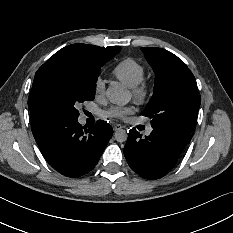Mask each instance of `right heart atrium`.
<instances>
[{"label": "right heart atrium", "instance_id": "obj_1", "mask_svg": "<svg viewBox=\"0 0 233 233\" xmlns=\"http://www.w3.org/2000/svg\"><path fill=\"white\" fill-rule=\"evenodd\" d=\"M105 90V82L102 78H98L95 82L94 91L98 94H103Z\"/></svg>", "mask_w": 233, "mask_h": 233}]
</instances>
